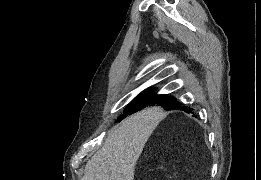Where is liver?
<instances>
[{"mask_svg":"<svg viewBox=\"0 0 261 180\" xmlns=\"http://www.w3.org/2000/svg\"><path fill=\"white\" fill-rule=\"evenodd\" d=\"M154 112L159 108H147L114 126L101 150L88 160L82 180H134L137 160L153 132Z\"/></svg>","mask_w":261,"mask_h":180,"instance_id":"6515ba94","label":"liver"}]
</instances>
